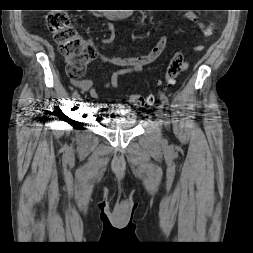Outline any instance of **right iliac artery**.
Returning a JSON list of instances; mask_svg holds the SVG:
<instances>
[{
  "label": "right iliac artery",
  "instance_id": "obj_1",
  "mask_svg": "<svg viewBox=\"0 0 253 253\" xmlns=\"http://www.w3.org/2000/svg\"><path fill=\"white\" fill-rule=\"evenodd\" d=\"M78 96L79 95L77 91H74V93L71 95L72 106H75Z\"/></svg>",
  "mask_w": 253,
  "mask_h": 253
}]
</instances>
